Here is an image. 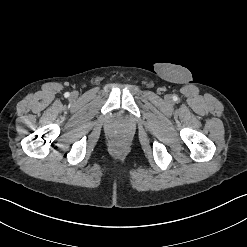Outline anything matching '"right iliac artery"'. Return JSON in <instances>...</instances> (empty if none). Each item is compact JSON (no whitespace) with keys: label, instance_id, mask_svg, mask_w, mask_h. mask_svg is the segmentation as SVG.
I'll list each match as a JSON object with an SVG mask.
<instances>
[{"label":"right iliac artery","instance_id":"1","mask_svg":"<svg viewBox=\"0 0 247 247\" xmlns=\"http://www.w3.org/2000/svg\"><path fill=\"white\" fill-rule=\"evenodd\" d=\"M65 96L68 97L69 96V93H65Z\"/></svg>","mask_w":247,"mask_h":247}]
</instances>
